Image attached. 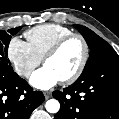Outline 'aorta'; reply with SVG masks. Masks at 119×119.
<instances>
[{"instance_id": "762f6f07", "label": "aorta", "mask_w": 119, "mask_h": 119, "mask_svg": "<svg viewBox=\"0 0 119 119\" xmlns=\"http://www.w3.org/2000/svg\"><path fill=\"white\" fill-rule=\"evenodd\" d=\"M45 108L49 113H57L60 109V103L56 99H50L46 102Z\"/></svg>"}]
</instances>
